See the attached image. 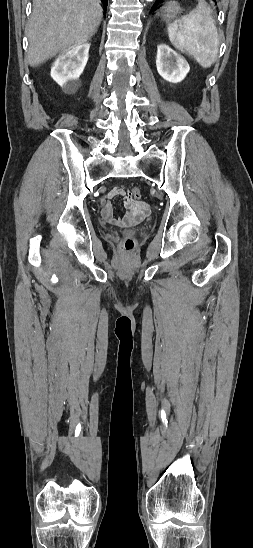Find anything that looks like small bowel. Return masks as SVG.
<instances>
[{"label": "small bowel", "mask_w": 253, "mask_h": 548, "mask_svg": "<svg viewBox=\"0 0 253 548\" xmlns=\"http://www.w3.org/2000/svg\"><path fill=\"white\" fill-rule=\"evenodd\" d=\"M117 196H124L126 213L122 217H115L111 200ZM102 218L116 226H130L143 220L150 213V205L144 201H136L123 187H114L101 200Z\"/></svg>", "instance_id": "1"}]
</instances>
